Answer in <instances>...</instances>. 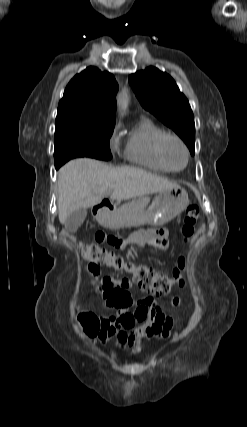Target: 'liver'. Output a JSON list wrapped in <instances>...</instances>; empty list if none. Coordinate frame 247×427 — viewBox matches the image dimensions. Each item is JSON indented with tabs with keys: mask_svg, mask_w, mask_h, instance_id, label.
Listing matches in <instances>:
<instances>
[{
	"mask_svg": "<svg viewBox=\"0 0 247 427\" xmlns=\"http://www.w3.org/2000/svg\"><path fill=\"white\" fill-rule=\"evenodd\" d=\"M176 183L136 167H110L89 158L66 163L58 173V216L99 204L104 196L127 200L177 187Z\"/></svg>",
	"mask_w": 247,
	"mask_h": 427,
	"instance_id": "1",
	"label": "liver"
}]
</instances>
